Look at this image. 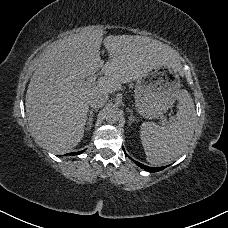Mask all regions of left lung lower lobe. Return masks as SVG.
<instances>
[{
	"label": "left lung lower lobe",
	"instance_id": "obj_1",
	"mask_svg": "<svg viewBox=\"0 0 228 228\" xmlns=\"http://www.w3.org/2000/svg\"><path fill=\"white\" fill-rule=\"evenodd\" d=\"M126 154V153H125ZM127 155V154H126ZM136 164L139 166V167H141L142 169H144V170H146V171H148V172H158V171H161V170H163L165 167H159V168H153V167H148V166H146V165H143V164H141V163H139V162H136Z\"/></svg>",
	"mask_w": 228,
	"mask_h": 228
}]
</instances>
